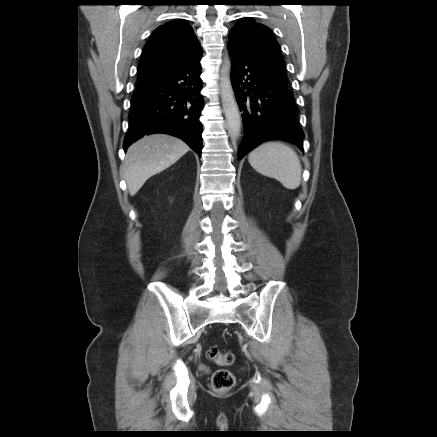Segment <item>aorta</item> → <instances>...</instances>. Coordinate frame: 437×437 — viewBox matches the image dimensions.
Masks as SVG:
<instances>
[{"label":"aorta","mask_w":437,"mask_h":437,"mask_svg":"<svg viewBox=\"0 0 437 437\" xmlns=\"http://www.w3.org/2000/svg\"><path fill=\"white\" fill-rule=\"evenodd\" d=\"M230 69L231 59L226 56L221 69L220 96L229 132L232 137L238 138L241 132V116L230 80Z\"/></svg>","instance_id":"762f6f07"}]
</instances>
